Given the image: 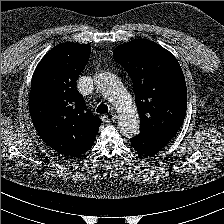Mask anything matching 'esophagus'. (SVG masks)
Returning <instances> with one entry per match:
<instances>
[{
    "label": "esophagus",
    "mask_w": 224,
    "mask_h": 224,
    "mask_svg": "<svg viewBox=\"0 0 224 224\" xmlns=\"http://www.w3.org/2000/svg\"><path fill=\"white\" fill-rule=\"evenodd\" d=\"M116 118H117L116 114L109 113L102 117V121L105 123H110V122L114 121Z\"/></svg>",
    "instance_id": "34e87169"
}]
</instances>
